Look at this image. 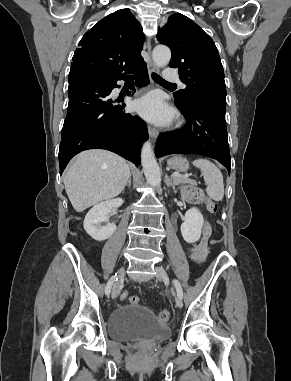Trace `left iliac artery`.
<instances>
[{"mask_svg": "<svg viewBox=\"0 0 291 381\" xmlns=\"http://www.w3.org/2000/svg\"><path fill=\"white\" fill-rule=\"evenodd\" d=\"M173 284L176 288V291H177V295L182 298L183 297V290H182V287H181V284L178 280L176 279H173Z\"/></svg>", "mask_w": 291, "mask_h": 381, "instance_id": "1", "label": "left iliac artery"}]
</instances>
